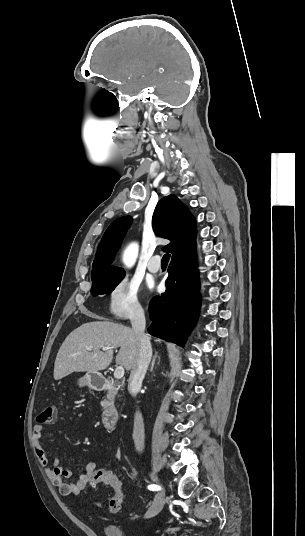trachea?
<instances>
[{
    "label": "trachea",
    "instance_id": "3493384b",
    "mask_svg": "<svg viewBox=\"0 0 305 536\" xmlns=\"http://www.w3.org/2000/svg\"><path fill=\"white\" fill-rule=\"evenodd\" d=\"M170 256L171 255L169 253H165V255L162 257L161 263H168Z\"/></svg>",
    "mask_w": 305,
    "mask_h": 536
}]
</instances>
